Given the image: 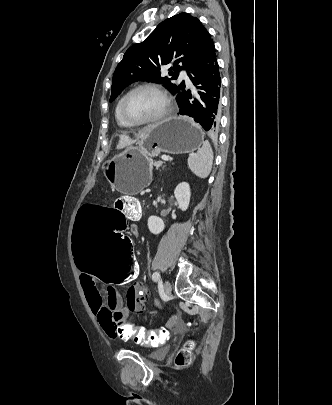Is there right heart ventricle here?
<instances>
[{
    "label": "right heart ventricle",
    "mask_w": 332,
    "mask_h": 405,
    "mask_svg": "<svg viewBox=\"0 0 332 405\" xmlns=\"http://www.w3.org/2000/svg\"><path fill=\"white\" fill-rule=\"evenodd\" d=\"M119 103H120V100L117 101L116 106H115V110H114V115H115L116 122H117V124H118L119 126H121V127H125V128L131 127L130 124L126 123V122L121 118L120 113H119Z\"/></svg>",
    "instance_id": "e07e8e85"
}]
</instances>
